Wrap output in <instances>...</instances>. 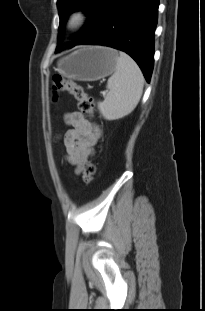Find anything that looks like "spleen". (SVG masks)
<instances>
[{
    "label": "spleen",
    "mask_w": 205,
    "mask_h": 311,
    "mask_svg": "<svg viewBox=\"0 0 205 311\" xmlns=\"http://www.w3.org/2000/svg\"><path fill=\"white\" fill-rule=\"evenodd\" d=\"M144 86L143 74L137 63L126 53L119 52L116 70L107 81L108 93L98 108L107 120L130 114L138 104Z\"/></svg>",
    "instance_id": "3e777b00"
}]
</instances>
